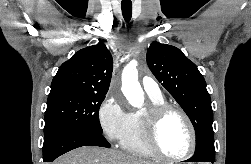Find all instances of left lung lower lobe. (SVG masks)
<instances>
[{
    "label": "left lung lower lobe",
    "mask_w": 251,
    "mask_h": 164,
    "mask_svg": "<svg viewBox=\"0 0 251 164\" xmlns=\"http://www.w3.org/2000/svg\"><path fill=\"white\" fill-rule=\"evenodd\" d=\"M187 162H215V156L205 153L204 151H198Z\"/></svg>",
    "instance_id": "0a47b994"
}]
</instances>
